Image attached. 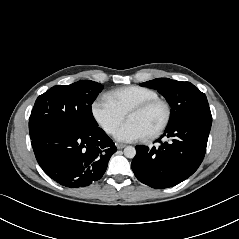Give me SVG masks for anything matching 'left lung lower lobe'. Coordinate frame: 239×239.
<instances>
[{
  "label": "left lung lower lobe",
  "mask_w": 239,
  "mask_h": 239,
  "mask_svg": "<svg viewBox=\"0 0 239 239\" xmlns=\"http://www.w3.org/2000/svg\"><path fill=\"white\" fill-rule=\"evenodd\" d=\"M212 117H190L167 126L170 140L159 148L136 146L132 170L139 181L156 189L168 188L190 177L200 166L207 146Z\"/></svg>",
  "instance_id": "obj_1"
}]
</instances>
